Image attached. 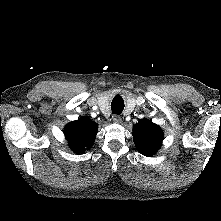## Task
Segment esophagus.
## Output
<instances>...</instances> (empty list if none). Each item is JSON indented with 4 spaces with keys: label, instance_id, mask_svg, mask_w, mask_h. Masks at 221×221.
<instances>
[{
    "label": "esophagus",
    "instance_id": "34e87169",
    "mask_svg": "<svg viewBox=\"0 0 221 221\" xmlns=\"http://www.w3.org/2000/svg\"><path fill=\"white\" fill-rule=\"evenodd\" d=\"M112 119L115 123H121L122 122V118L117 114L113 115Z\"/></svg>",
    "mask_w": 221,
    "mask_h": 221
}]
</instances>
